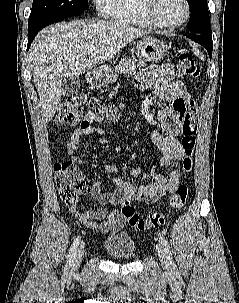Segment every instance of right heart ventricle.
Instances as JSON below:
<instances>
[{"label": "right heart ventricle", "instance_id": "e07e8e85", "mask_svg": "<svg viewBox=\"0 0 239 303\" xmlns=\"http://www.w3.org/2000/svg\"><path fill=\"white\" fill-rule=\"evenodd\" d=\"M112 19L142 28H155L143 12L142 0H116Z\"/></svg>", "mask_w": 239, "mask_h": 303}]
</instances>
